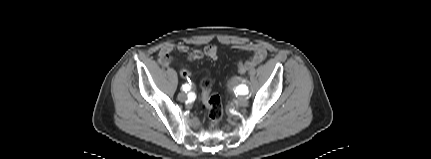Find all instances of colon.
Returning <instances> with one entry per match:
<instances>
[{
	"mask_svg": "<svg viewBox=\"0 0 431 159\" xmlns=\"http://www.w3.org/2000/svg\"><path fill=\"white\" fill-rule=\"evenodd\" d=\"M236 62L238 66V76H246L247 71L245 67H243L244 63L242 59L239 58ZM190 77L191 72L189 67L187 65H182L180 67V78L183 80H188ZM200 87L202 92V101L207 110L209 126L216 127L220 123L223 115L221 98L219 95L211 93L212 83L209 79H203L200 83ZM195 95H197V99H200V92H195Z\"/></svg>",
	"mask_w": 431,
	"mask_h": 159,
	"instance_id": "colon-1",
	"label": "colon"
}]
</instances>
